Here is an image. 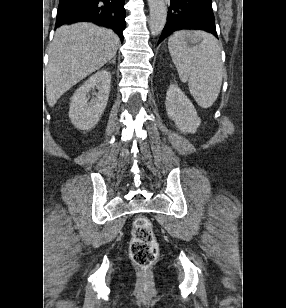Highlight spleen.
I'll list each match as a JSON object with an SVG mask.
<instances>
[{
  "instance_id": "obj_1",
  "label": "spleen",
  "mask_w": 286,
  "mask_h": 308,
  "mask_svg": "<svg viewBox=\"0 0 286 308\" xmlns=\"http://www.w3.org/2000/svg\"><path fill=\"white\" fill-rule=\"evenodd\" d=\"M194 36L200 43L189 47ZM168 49L180 80L188 83L190 94L202 108L216 101L223 79L221 48L218 40L205 31H177L168 40Z\"/></svg>"
}]
</instances>
